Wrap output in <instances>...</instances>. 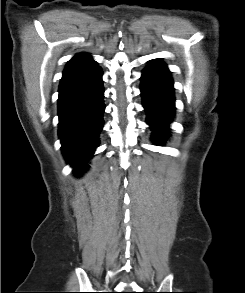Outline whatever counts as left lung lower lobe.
<instances>
[{"label":"left lung lower lobe","mask_w":245,"mask_h":293,"mask_svg":"<svg viewBox=\"0 0 245 293\" xmlns=\"http://www.w3.org/2000/svg\"><path fill=\"white\" fill-rule=\"evenodd\" d=\"M140 89L147 123L154 132L152 139L164 142L175 111L173 80L166 65L152 61L142 73Z\"/></svg>","instance_id":"0a47b994"}]
</instances>
